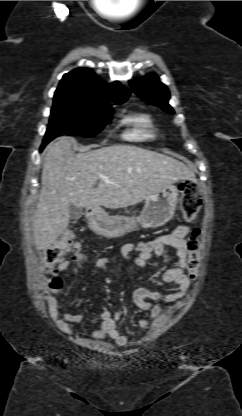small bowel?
Segmentation results:
<instances>
[{
	"label": "small bowel",
	"mask_w": 242,
	"mask_h": 416,
	"mask_svg": "<svg viewBox=\"0 0 242 416\" xmlns=\"http://www.w3.org/2000/svg\"><path fill=\"white\" fill-rule=\"evenodd\" d=\"M189 232V226L179 225L171 232L150 241L127 243L120 249L122 258L138 267L146 266L152 258L160 255L166 246H171L175 249L176 262L174 266L161 275V283H171L173 290L170 293L164 294L162 291L138 288L132 294L135 305L141 310L150 312L149 319L156 318L161 311L160 304H152L150 301L173 302L182 297L189 288L190 281L184 273L187 261L186 237ZM116 259V257H92L85 260V262L99 271H106L109 264ZM58 270L61 272H76V266L69 260H63L58 265ZM49 309L50 316L54 319L57 327L67 335L74 334L70 324L81 323L85 318V314L83 313H70L66 310L60 312L56 296L50 298ZM121 318V312L111 313L108 309L104 308L101 312V326L90 337L100 339L104 336H109L118 346H125L127 344V338L117 328V322ZM148 324V319H141L138 322V326L141 329H145Z\"/></svg>",
	"instance_id": "small-bowel-1"
}]
</instances>
